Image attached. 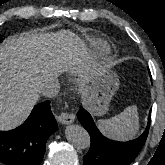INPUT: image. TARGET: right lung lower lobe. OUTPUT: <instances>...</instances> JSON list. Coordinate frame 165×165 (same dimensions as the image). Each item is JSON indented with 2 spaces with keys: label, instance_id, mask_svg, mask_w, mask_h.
<instances>
[{
  "label": "right lung lower lobe",
  "instance_id": "right-lung-lower-lobe-1",
  "mask_svg": "<svg viewBox=\"0 0 165 165\" xmlns=\"http://www.w3.org/2000/svg\"><path fill=\"white\" fill-rule=\"evenodd\" d=\"M58 129L50 101L36 105L18 128L0 131V162L6 165H39L46 140Z\"/></svg>",
  "mask_w": 165,
  "mask_h": 165
}]
</instances>
